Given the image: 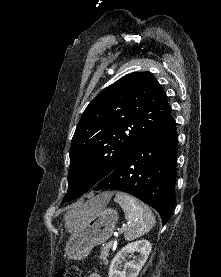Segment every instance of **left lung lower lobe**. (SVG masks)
<instances>
[{"mask_svg":"<svg viewBox=\"0 0 221 277\" xmlns=\"http://www.w3.org/2000/svg\"><path fill=\"white\" fill-rule=\"evenodd\" d=\"M177 154L175 122L169 114L94 190H119L135 196L157 210L164 225L175 205Z\"/></svg>","mask_w":221,"mask_h":277,"instance_id":"obj_1","label":"left lung lower lobe"}]
</instances>
